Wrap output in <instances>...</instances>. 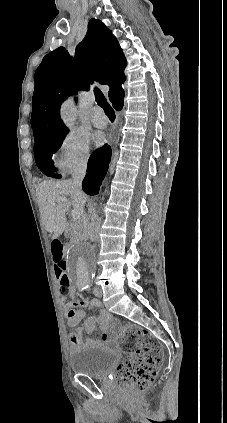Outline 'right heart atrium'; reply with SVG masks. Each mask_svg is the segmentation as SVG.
Wrapping results in <instances>:
<instances>
[{
	"label": "right heart atrium",
	"mask_w": 227,
	"mask_h": 423,
	"mask_svg": "<svg viewBox=\"0 0 227 423\" xmlns=\"http://www.w3.org/2000/svg\"><path fill=\"white\" fill-rule=\"evenodd\" d=\"M90 159L91 150L87 137L71 131L60 140L54 162L63 174H69L87 168Z\"/></svg>",
	"instance_id": "right-heart-atrium-1"
}]
</instances>
